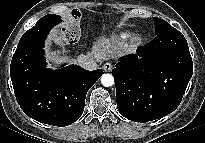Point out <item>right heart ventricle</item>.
<instances>
[{
  "label": "right heart ventricle",
  "instance_id": "e07e8e85",
  "mask_svg": "<svg viewBox=\"0 0 205 143\" xmlns=\"http://www.w3.org/2000/svg\"><path fill=\"white\" fill-rule=\"evenodd\" d=\"M128 38H129V34H122V35H121V39H122L123 41L127 40Z\"/></svg>",
  "mask_w": 205,
  "mask_h": 143
}]
</instances>
